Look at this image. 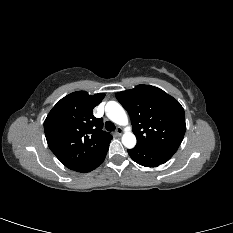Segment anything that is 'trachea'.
Wrapping results in <instances>:
<instances>
[{"mask_svg": "<svg viewBox=\"0 0 233 233\" xmlns=\"http://www.w3.org/2000/svg\"><path fill=\"white\" fill-rule=\"evenodd\" d=\"M105 128L108 131H114L116 129L115 125L111 121L105 123Z\"/></svg>", "mask_w": 233, "mask_h": 233, "instance_id": "trachea-1", "label": "trachea"}]
</instances>
